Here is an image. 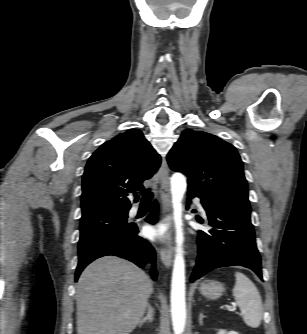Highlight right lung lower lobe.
Listing matches in <instances>:
<instances>
[{
  "instance_id": "right-lung-lower-lobe-1",
  "label": "right lung lower lobe",
  "mask_w": 307,
  "mask_h": 334,
  "mask_svg": "<svg viewBox=\"0 0 307 334\" xmlns=\"http://www.w3.org/2000/svg\"><path fill=\"white\" fill-rule=\"evenodd\" d=\"M157 211L158 206L157 203L154 202L151 213L146 219L147 222H156ZM137 234V226H134L121 236L105 238L80 251L75 280L77 281L80 273L90 262L106 255H114L125 258L132 261L139 267H144L146 262L151 261L153 264L151 276L153 279H156L157 272L155 270V251L146 240L139 237Z\"/></svg>"
}]
</instances>
